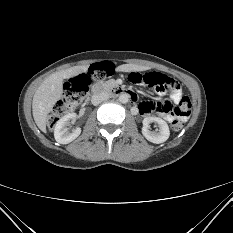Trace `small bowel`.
<instances>
[{
  "label": "small bowel",
  "instance_id": "1",
  "mask_svg": "<svg viewBox=\"0 0 233 233\" xmlns=\"http://www.w3.org/2000/svg\"><path fill=\"white\" fill-rule=\"evenodd\" d=\"M174 81V80H173ZM175 86L170 90V98L172 100L173 103L178 104L181 99L183 98V93L182 90L179 86V84L174 81ZM166 91V90H164ZM164 91H161L162 93ZM153 102H144L142 103L139 108L136 110L138 112H140L142 115L145 116H149L152 115L154 113H158L160 114L164 119H166L167 121L171 122L174 118L177 117V114L175 113L174 109L171 107V105L169 103H159L160 107L156 108L154 107ZM186 118H183V120H185Z\"/></svg>",
  "mask_w": 233,
  "mask_h": 233
}]
</instances>
